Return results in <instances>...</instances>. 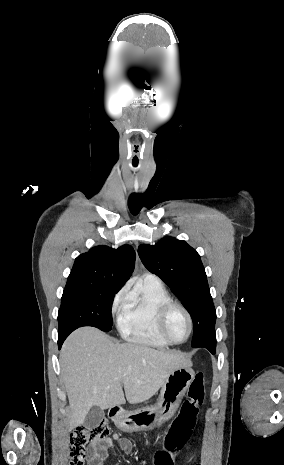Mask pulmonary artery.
<instances>
[{"mask_svg":"<svg viewBox=\"0 0 284 465\" xmlns=\"http://www.w3.org/2000/svg\"><path fill=\"white\" fill-rule=\"evenodd\" d=\"M145 279L151 280V281H161L160 278L154 274H145Z\"/></svg>","mask_w":284,"mask_h":465,"instance_id":"pulmonary-artery-1","label":"pulmonary artery"}]
</instances>
